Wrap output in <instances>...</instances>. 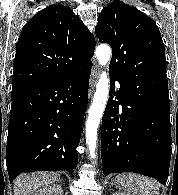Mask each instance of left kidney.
Returning a JSON list of instances; mask_svg holds the SVG:
<instances>
[{
  "label": "left kidney",
  "instance_id": "left-kidney-1",
  "mask_svg": "<svg viewBox=\"0 0 178 195\" xmlns=\"http://www.w3.org/2000/svg\"><path fill=\"white\" fill-rule=\"evenodd\" d=\"M112 195H130V194H126L124 192H115Z\"/></svg>",
  "mask_w": 178,
  "mask_h": 195
}]
</instances>
